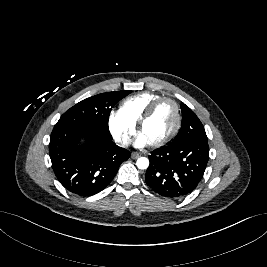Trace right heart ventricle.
Listing matches in <instances>:
<instances>
[{"label":"right heart ventricle","instance_id":"e07e8e85","mask_svg":"<svg viewBox=\"0 0 267 267\" xmlns=\"http://www.w3.org/2000/svg\"><path fill=\"white\" fill-rule=\"evenodd\" d=\"M161 96L156 93L143 92L123 101L121 111L133 124H137L149 105Z\"/></svg>","mask_w":267,"mask_h":267}]
</instances>
